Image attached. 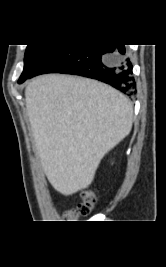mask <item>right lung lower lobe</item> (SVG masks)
Listing matches in <instances>:
<instances>
[{
	"label": "right lung lower lobe",
	"instance_id": "obj_1",
	"mask_svg": "<svg viewBox=\"0 0 166 267\" xmlns=\"http://www.w3.org/2000/svg\"><path fill=\"white\" fill-rule=\"evenodd\" d=\"M132 69L125 45L58 44L46 53L27 79L45 73L75 74L100 80L134 96L136 82Z\"/></svg>",
	"mask_w": 166,
	"mask_h": 267
}]
</instances>
